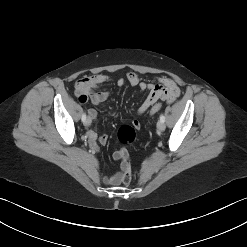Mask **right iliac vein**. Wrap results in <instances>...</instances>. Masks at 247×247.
Masks as SVG:
<instances>
[{"instance_id":"obj_1","label":"right iliac vein","mask_w":247,"mask_h":247,"mask_svg":"<svg viewBox=\"0 0 247 247\" xmlns=\"http://www.w3.org/2000/svg\"><path fill=\"white\" fill-rule=\"evenodd\" d=\"M84 125L89 127L91 125V119L90 118H87L85 121H84Z\"/></svg>"}]
</instances>
